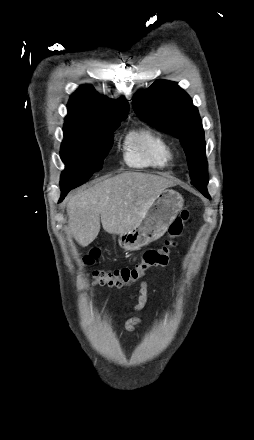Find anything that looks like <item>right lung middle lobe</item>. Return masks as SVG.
<instances>
[{"instance_id": "dd1d6c3e", "label": "right lung middle lobe", "mask_w": 254, "mask_h": 440, "mask_svg": "<svg viewBox=\"0 0 254 440\" xmlns=\"http://www.w3.org/2000/svg\"><path fill=\"white\" fill-rule=\"evenodd\" d=\"M120 126L88 127L64 124V140L60 157L66 165L61 175V189H71L85 183L102 168L104 158L113 144V132Z\"/></svg>"}]
</instances>
